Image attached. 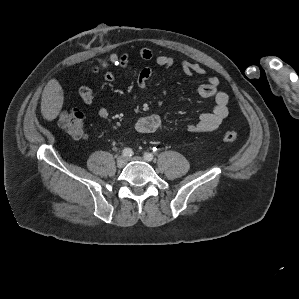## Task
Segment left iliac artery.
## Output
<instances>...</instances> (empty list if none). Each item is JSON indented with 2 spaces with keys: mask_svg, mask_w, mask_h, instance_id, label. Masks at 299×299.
Wrapping results in <instances>:
<instances>
[{
  "mask_svg": "<svg viewBox=\"0 0 299 299\" xmlns=\"http://www.w3.org/2000/svg\"><path fill=\"white\" fill-rule=\"evenodd\" d=\"M144 159L151 161L153 159V154L152 153H145L144 154Z\"/></svg>",
  "mask_w": 299,
  "mask_h": 299,
  "instance_id": "obj_1",
  "label": "left iliac artery"
}]
</instances>
